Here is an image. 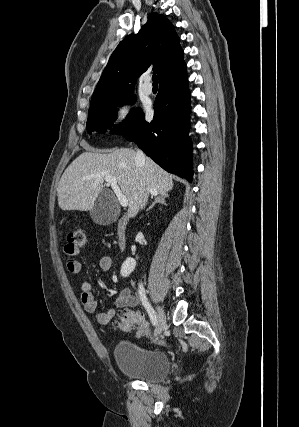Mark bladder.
<instances>
[{
    "mask_svg": "<svg viewBox=\"0 0 299 427\" xmlns=\"http://www.w3.org/2000/svg\"><path fill=\"white\" fill-rule=\"evenodd\" d=\"M114 356L123 375L147 383L163 380L171 370L167 354L143 349L131 341L118 342Z\"/></svg>",
    "mask_w": 299,
    "mask_h": 427,
    "instance_id": "31cf9c89",
    "label": "bladder"
}]
</instances>
